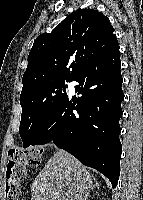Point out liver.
Masks as SVG:
<instances>
[{
	"mask_svg": "<svg viewBox=\"0 0 143 200\" xmlns=\"http://www.w3.org/2000/svg\"><path fill=\"white\" fill-rule=\"evenodd\" d=\"M94 180L74 156L59 150L30 185L31 200H83L94 189Z\"/></svg>",
	"mask_w": 143,
	"mask_h": 200,
	"instance_id": "obj_1",
	"label": "liver"
}]
</instances>
